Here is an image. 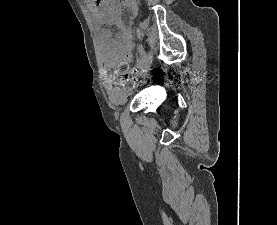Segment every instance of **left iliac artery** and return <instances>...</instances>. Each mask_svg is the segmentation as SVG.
I'll return each mask as SVG.
<instances>
[{
  "label": "left iliac artery",
  "instance_id": "1",
  "mask_svg": "<svg viewBox=\"0 0 277 225\" xmlns=\"http://www.w3.org/2000/svg\"><path fill=\"white\" fill-rule=\"evenodd\" d=\"M138 52H139V59L137 60V68L142 69L146 53H145L144 47L141 44H139L138 46Z\"/></svg>",
  "mask_w": 277,
  "mask_h": 225
}]
</instances>
